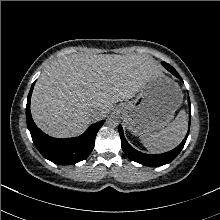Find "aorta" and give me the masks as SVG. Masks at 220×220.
Segmentation results:
<instances>
[{
  "instance_id": "aorta-1",
  "label": "aorta",
  "mask_w": 220,
  "mask_h": 220,
  "mask_svg": "<svg viewBox=\"0 0 220 220\" xmlns=\"http://www.w3.org/2000/svg\"><path fill=\"white\" fill-rule=\"evenodd\" d=\"M106 124L109 127L115 128L118 126L119 124V119L117 116L114 115H110L107 119H106Z\"/></svg>"
}]
</instances>
